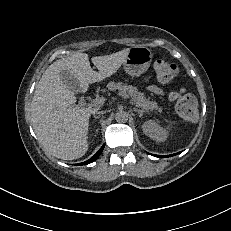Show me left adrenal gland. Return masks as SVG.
I'll list each match as a JSON object with an SVG mask.
<instances>
[{
    "mask_svg": "<svg viewBox=\"0 0 231 231\" xmlns=\"http://www.w3.org/2000/svg\"><path fill=\"white\" fill-rule=\"evenodd\" d=\"M135 112H137L139 114V117H142L143 113L145 112V110H140L137 108H133Z\"/></svg>",
    "mask_w": 231,
    "mask_h": 231,
    "instance_id": "left-adrenal-gland-1",
    "label": "left adrenal gland"
}]
</instances>
